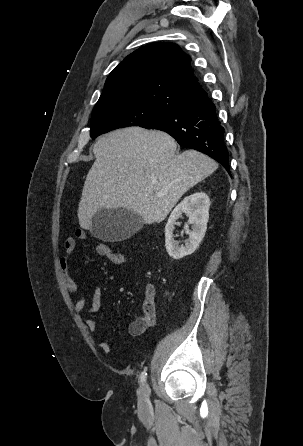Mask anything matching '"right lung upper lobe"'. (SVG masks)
<instances>
[{"label": "right lung upper lobe", "mask_w": 303, "mask_h": 446, "mask_svg": "<svg viewBox=\"0 0 303 446\" xmlns=\"http://www.w3.org/2000/svg\"><path fill=\"white\" fill-rule=\"evenodd\" d=\"M191 58L174 43H152L128 55L109 75L95 108L142 104L173 110L204 97Z\"/></svg>", "instance_id": "cb5924a9"}]
</instances>
